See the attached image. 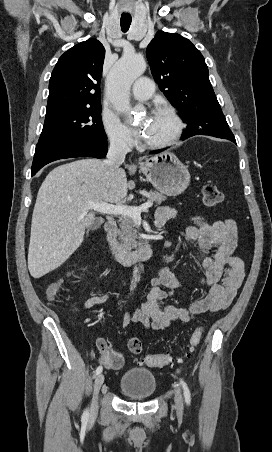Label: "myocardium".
Returning <instances> with one entry per match:
<instances>
[{
  "instance_id": "obj_1",
  "label": "myocardium",
  "mask_w": 272,
  "mask_h": 452,
  "mask_svg": "<svg viewBox=\"0 0 272 452\" xmlns=\"http://www.w3.org/2000/svg\"><path fill=\"white\" fill-rule=\"evenodd\" d=\"M154 113H163L168 116L173 122V130L171 134L164 140L158 142L143 141V146L150 149H163L174 145L181 137L184 129V123L176 112V110L170 106H158L154 110Z\"/></svg>"
}]
</instances>
